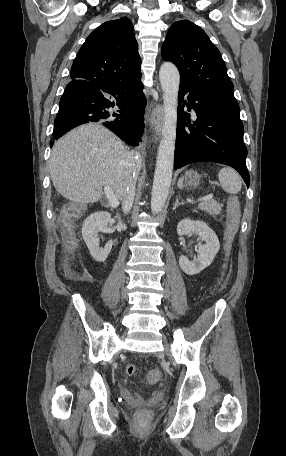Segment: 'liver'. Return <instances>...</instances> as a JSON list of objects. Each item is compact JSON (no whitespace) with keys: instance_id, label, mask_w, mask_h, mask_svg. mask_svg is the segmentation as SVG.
I'll return each instance as SVG.
<instances>
[{"instance_id":"liver-1","label":"liver","mask_w":286,"mask_h":456,"mask_svg":"<svg viewBox=\"0 0 286 456\" xmlns=\"http://www.w3.org/2000/svg\"><path fill=\"white\" fill-rule=\"evenodd\" d=\"M49 172L57 192L72 202H97L103 186L111 187L122 200L133 181L135 156L111 131L90 123L54 144Z\"/></svg>"}]
</instances>
